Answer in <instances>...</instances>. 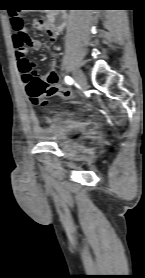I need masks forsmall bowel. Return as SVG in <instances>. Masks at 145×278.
<instances>
[{"label":"small bowel","instance_id":"small-bowel-1","mask_svg":"<svg viewBox=\"0 0 145 278\" xmlns=\"http://www.w3.org/2000/svg\"><path fill=\"white\" fill-rule=\"evenodd\" d=\"M38 30L45 33V40L39 41L36 39H31L28 45H19L18 50L25 49L26 52L29 48L33 50H39L45 43H54L57 38V33L49 29L47 25L45 27H37ZM14 43L16 41L14 38ZM17 56V71L20 77V81L24 87L27 97L35 104H43L48 98L56 95L68 96L65 89L57 85V75L55 73V61L52 60L49 70L41 75H34V63L32 60L26 58L25 56ZM36 94V101L31 97V93ZM31 126V132L34 136L38 137L42 133V128L36 117H31L29 120Z\"/></svg>","mask_w":145,"mask_h":278}]
</instances>
